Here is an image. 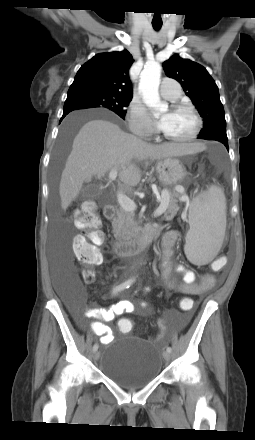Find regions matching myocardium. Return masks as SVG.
<instances>
[{"label":"myocardium","instance_id":"obj_1","mask_svg":"<svg viewBox=\"0 0 255 440\" xmlns=\"http://www.w3.org/2000/svg\"><path fill=\"white\" fill-rule=\"evenodd\" d=\"M172 110L173 111H175V110H186V111H188L194 117V119H195V128L192 131V133L189 136L185 137V138H174V137L169 136L168 134H166L164 131L162 132V136L166 140L173 141V142H176V143H187V142H190V141H193L194 139H196L198 137V135H199V133H200V131L202 129V125H203L202 119H201L200 115L198 114V112L191 105H188V104H185V103H181V102L173 104L172 105Z\"/></svg>","mask_w":255,"mask_h":440}]
</instances>
